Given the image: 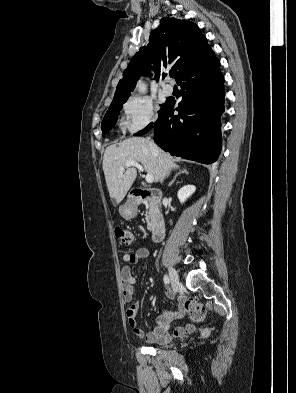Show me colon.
<instances>
[{
  "label": "colon",
  "mask_w": 296,
  "mask_h": 393,
  "mask_svg": "<svg viewBox=\"0 0 296 393\" xmlns=\"http://www.w3.org/2000/svg\"><path fill=\"white\" fill-rule=\"evenodd\" d=\"M114 232L115 236L123 244L130 245L133 242V234L131 231L121 227H116ZM184 308L186 312L190 315V317L197 321L203 320L205 318V308L193 299H185Z\"/></svg>",
  "instance_id": "5ec220e1"
}]
</instances>
